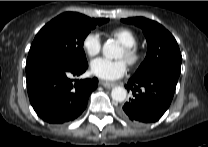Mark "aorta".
<instances>
[{
    "mask_svg": "<svg viewBox=\"0 0 208 147\" xmlns=\"http://www.w3.org/2000/svg\"><path fill=\"white\" fill-rule=\"evenodd\" d=\"M103 55L107 59L117 58L121 53V47L117 41L108 40L102 47ZM127 91L123 87H115L111 91V97L116 102H122L126 99Z\"/></svg>",
    "mask_w": 208,
    "mask_h": 147,
    "instance_id": "aorta-1",
    "label": "aorta"
}]
</instances>
